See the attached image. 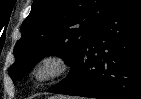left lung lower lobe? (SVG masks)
Segmentation results:
<instances>
[{"label": "left lung lower lobe", "mask_w": 141, "mask_h": 99, "mask_svg": "<svg viewBox=\"0 0 141 99\" xmlns=\"http://www.w3.org/2000/svg\"><path fill=\"white\" fill-rule=\"evenodd\" d=\"M52 93L141 99V0H118Z\"/></svg>", "instance_id": "0a47b994"}]
</instances>
